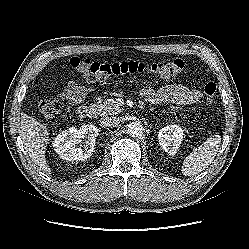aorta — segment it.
<instances>
[{"mask_svg":"<svg viewBox=\"0 0 249 249\" xmlns=\"http://www.w3.org/2000/svg\"><path fill=\"white\" fill-rule=\"evenodd\" d=\"M127 133L134 137L139 138L143 135V127L139 122H132L128 125Z\"/></svg>","mask_w":249,"mask_h":249,"instance_id":"762f6f07","label":"aorta"}]
</instances>
